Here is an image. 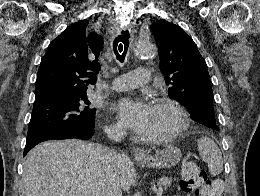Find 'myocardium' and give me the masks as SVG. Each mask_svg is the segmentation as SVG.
<instances>
[{"mask_svg": "<svg viewBox=\"0 0 260 196\" xmlns=\"http://www.w3.org/2000/svg\"><path fill=\"white\" fill-rule=\"evenodd\" d=\"M152 103L169 107L176 113L179 121L174 128L166 130L160 134L150 135L148 137V140L152 142L168 141L170 139L177 137L187 129L189 124V115L188 112L185 110V108L179 102H177L172 98L161 96V97H154Z\"/></svg>", "mask_w": 260, "mask_h": 196, "instance_id": "f54148a6", "label": "myocardium"}]
</instances>
